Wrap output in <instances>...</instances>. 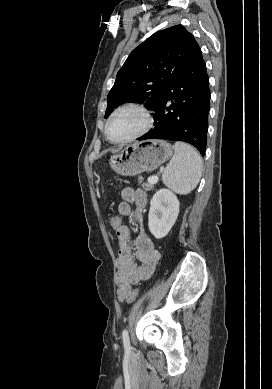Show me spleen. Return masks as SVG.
Masks as SVG:
<instances>
[{"label": "spleen", "instance_id": "1", "mask_svg": "<svg viewBox=\"0 0 272 389\" xmlns=\"http://www.w3.org/2000/svg\"><path fill=\"white\" fill-rule=\"evenodd\" d=\"M175 153L166 166L163 183L178 194H188L198 185L202 175V159L190 145L176 142Z\"/></svg>", "mask_w": 272, "mask_h": 389}]
</instances>
